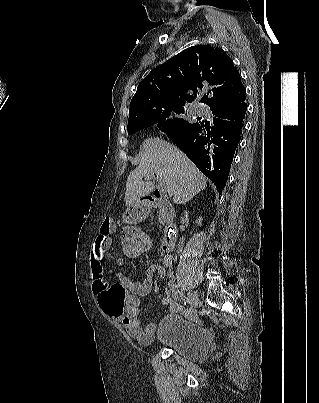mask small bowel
I'll list each match as a JSON object with an SVG mask.
<instances>
[{
    "instance_id": "1",
    "label": "small bowel",
    "mask_w": 319,
    "mask_h": 403,
    "mask_svg": "<svg viewBox=\"0 0 319 403\" xmlns=\"http://www.w3.org/2000/svg\"><path fill=\"white\" fill-rule=\"evenodd\" d=\"M113 230V222L111 220L104 221L92 249L90 267L93 292L97 295L102 313H107L110 317L118 319L128 334L138 343L149 344L154 339L157 326L154 323L145 326L141 324L138 309L139 297L146 296L151 291H157L155 277L158 276L159 279L166 281L165 294L161 297V302L164 305H169L172 310L176 309L170 293L172 259L166 255L163 257L161 265H149L146 277L142 280H130L124 274L119 273L118 281L120 284H108L105 275L104 256L109 244L108 236ZM126 290L128 295H126Z\"/></svg>"
}]
</instances>
